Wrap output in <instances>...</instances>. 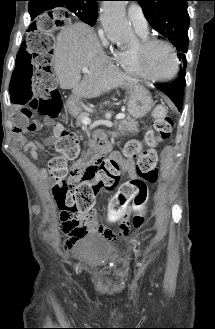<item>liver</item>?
<instances>
[{
	"instance_id": "obj_1",
	"label": "liver",
	"mask_w": 215,
	"mask_h": 329,
	"mask_svg": "<svg viewBox=\"0 0 215 329\" xmlns=\"http://www.w3.org/2000/svg\"><path fill=\"white\" fill-rule=\"evenodd\" d=\"M87 67L81 80V69ZM54 71L62 89H72L78 98L98 97L105 91L138 80L117 69L103 54L93 29L77 22L61 30L54 47Z\"/></svg>"
}]
</instances>
